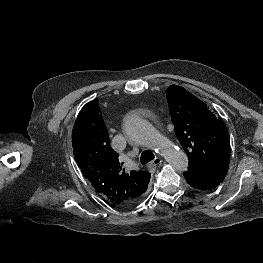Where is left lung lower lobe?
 I'll return each mask as SVG.
<instances>
[{"instance_id":"obj_1","label":"left lung lower lobe","mask_w":263,"mask_h":263,"mask_svg":"<svg viewBox=\"0 0 263 263\" xmlns=\"http://www.w3.org/2000/svg\"><path fill=\"white\" fill-rule=\"evenodd\" d=\"M228 167L226 165L217 167H197L191 165L184 172V177L192 187L199 190H210L224 180Z\"/></svg>"}]
</instances>
